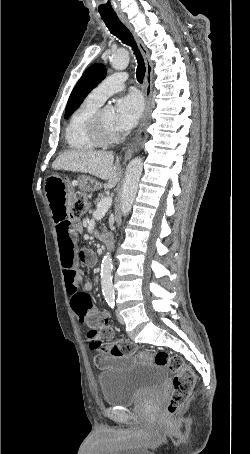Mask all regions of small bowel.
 Segmentation results:
<instances>
[{
	"label": "small bowel",
	"instance_id": "small-bowel-1",
	"mask_svg": "<svg viewBox=\"0 0 250 454\" xmlns=\"http://www.w3.org/2000/svg\"><path fill=\"white\" fill-rule=\"evenodd\" d=\"M72 191L73 186L67 179L57 176L47 179L45 192L56 225L67 293L70 296L74 313L81 323L86 324L92 316L106 315L100 312L90 299L89 293L93 290V283L91 281L82 283V271L79 263L92 266L95 263V255L89 249H76V237L82 229V223L78 219L68 217V201ZM81 283L82 288H80ZM94 361L101 369L117 364L115 359L107 356H95Z\"/></svg>",
	"mask_w": 250,
	"mask_h": 454
}]
</instances>
